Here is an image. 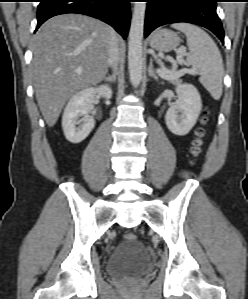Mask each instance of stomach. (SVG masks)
I'll return each instance as SVG.
<instances>
[{"mask_svg": "<svg viewBox=\"0 0 248 299\" xmlns=\"http://www.w3.org/2000/svg\"><path fill=\"white\" fill-rule=\"evenodd\" d=\"M181 43L178 33L169 29H159L150 38V46L159 52H170Z\"/></svg>", "mask_w": 248, "mask_h": 299, "instance_id": "stomach-1", "label": "stomach"}]
</instances>
